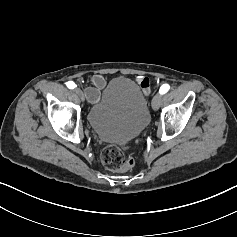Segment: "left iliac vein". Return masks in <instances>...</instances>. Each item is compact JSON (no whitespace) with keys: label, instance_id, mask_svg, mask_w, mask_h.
<instances>
[{"label":"left iliac vein","instance_id":"4c4485c4","mask_svg":"<svg viewBox=\"0 0 237 237\" xmlns=\"http://www.w3.org/2000/svg\"><path fill=\"white\" fill-rule=\"evenodd\" d=\"M160 100H161V96L160 95H155V97L153 98V108L154 109L159 108Z\"/></svg>","mask_w":237,"mask_h":237}]
</instances>
